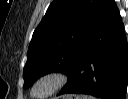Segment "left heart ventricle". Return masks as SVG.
<instances>
[{
    "instance_id": "left-heart-ventricle-1",
    "label": "left heart ventricle",
    "mask_w": 128,
    "mask_h": 99,
    "mask_svg": "<svg viewBox=\"0 0 128 99\" xmlns=\"http://www.w3.org/2000/svg\"><path fill=\"white\" fill-rule=\"evenodd\" d=\"M50 87H51V82L49 81L43 82L40 85H38V87L36 88V94L38 95L44 94L50 89Z\"/></svg>"
}]
</instances>
